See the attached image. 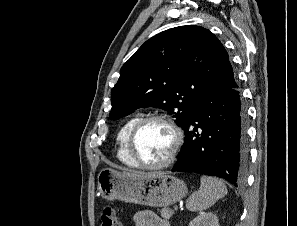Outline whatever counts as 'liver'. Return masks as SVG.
<instances>
[{"label": "liver", "instance_id": "1", "mask_svg": "<svg viewBox=\"0 0 297 226\" xmlns=\"http://www.w3.org/2000/svg\"><path fill=\"white\" fill-rule=\"evenodd\" d=\"M123 175H126L128 177H144V176H148V175H153V174H144V173H138V172H134V173H122Z\"/></svg>", "mask_w": 297, "mask_h": 226}]
</instances>
